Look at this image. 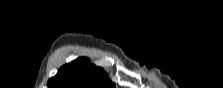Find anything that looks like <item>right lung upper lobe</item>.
I'll use <instances>...</instances> for the list:
<instances>
[{"label": "right lung upper lobe", "instance_id": "obj_1", "mask_svg": "<svg viewBox=\"0 0 223 88\" xmlns=\"http://www.w3.org/2000/svg\"><path fill=\"white\" fill-rule=\"evenodd\" d=\"M48 88H113L106 72L91 64L87 58H78L62 66L48 81Z\"/></svg>", "mask_w": 223, "mask_h": 88}]
</instances>
